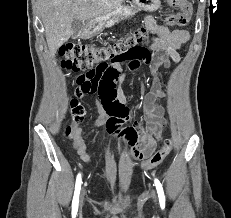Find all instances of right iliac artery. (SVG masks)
Returning <instances> with one entry per match:
<instances>
[{
  "label": "right iliac artery",
  "instance_id": "obj_1",
  "mask_svg": "<svg viewBox=\"0 0 231 218\" xmlns=\"http://www.w3.org/2000/svg\"><path fill=\"white\" fill-rule=\"evenodd\" d=\"M81 175L78 174L77 179H76V185H75V193L72 201V213L76 214L78 210V199H79V193L81 189Z\"/></svg>",
  "mask_w": 231,
  "mask_h": 218
}]
</instances>
